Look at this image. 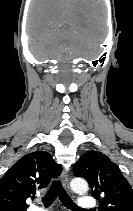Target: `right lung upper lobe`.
Returning a JSON list of instances; mask_svg holds the SVG:
<instances>
[{"instance_id": "cb5924a9", "label": "right lung upper lobe", "mask_w": 133, "mask_h": 211, "mask_svg": "<svg viewBox=\"0 0 133 211\" xmlns=\"http://www.w3.org/2000/svg\"><path fill=\"white\" fill-rule=\"evenodd\" d=\"M51 155L37 151L25 155L0 179V211H26V200L61 174Z\"/></svg>"}]
</instances>
